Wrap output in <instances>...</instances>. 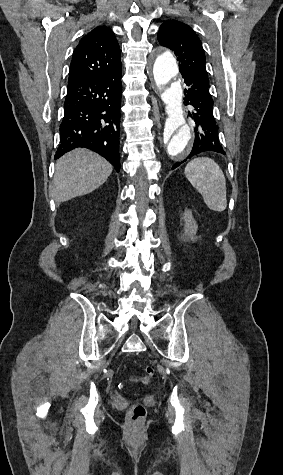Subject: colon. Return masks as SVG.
<instances>
[{
    "mask_svg": "<svg viewBox=\"0 0 283 475\" xmlns=\"http://www.w3.org/2000/svg\"><path fill=\"white\" fill-rule=\"evenodd\" d=\"M144 370H145L146 378H151L155 374V368L152 365L146 366ZM145 416H146L145 406L142 404L141 401L136 400L129 412V418L132 421L137 422V421L143 420Z\"/></svg>",
    "mask_w": 283,
    "mask_h": 475,
    "instance_id": "5ec220e1",
    "label": "colon"
}]
</instances>
